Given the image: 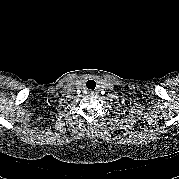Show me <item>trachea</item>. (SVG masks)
Wrapping results in <instances>:
<instances>
[{
    "instance_id": "1",
    "label": "trachea",
    "mask_w": 179,
    "mask_h": 179,
    "mask_svg": "<svg viewBox=\"0 0 179 179\" xmlns=\"http://www.w3.org/2000/svg\"><path fill=\"white\" fill-rule=\"evenodd\" d=\"M86 87H87L88 89L94 90L95 87H96V82H95L94 80H88V81L86 82Z\"/></svg>"
}]
</instances>
